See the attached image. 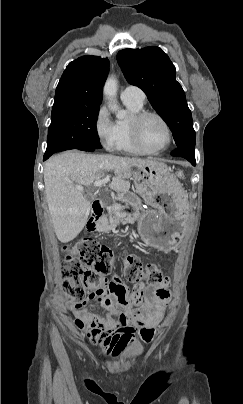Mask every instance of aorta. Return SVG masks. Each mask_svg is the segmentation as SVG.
<instances>
[{
  "instance_id": "aorta-1",
  "label": "aorta",
  "mask_w": 243,
  "mask_h": 404,
  "mask_svg": "<svg viewBox=\"0 0 243 404\" xmlns=\"http://www.w3.org/2000/svg\"><path fill=\"white\" fill-rule=\"evenodd\" d=\"M117 90V80L111 76V78H108L104 86V96H106L107 100H109V110L116 112V118H118V120H124V118L127 116V112L126 110H121V108H119L115 102Z\"/></svg>"
}]
</instances>
